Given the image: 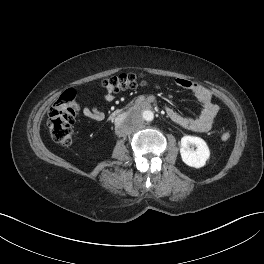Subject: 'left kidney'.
<instances>
[{
	"label": "left kidney",
	"instance_id": "5707ae66",
	"mask_svg": "<svg viewBox=\"0 0 264 264\" xmlns=\"http://www.w3.org/2000/svg\"><path fill=\"white\" fill-rule=\"evenodd\" d=\"M190 146H195L194 150ZM180 154L182 161L194 168H201L210 157V150L206 142L196 136H183L181 138Z\"/></svg>",
	"mask_w": 264,
	"mask_h": 264
}]
</instances>
